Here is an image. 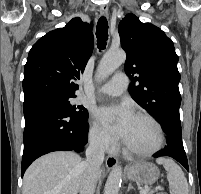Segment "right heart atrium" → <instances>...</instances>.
Here are the masks:
<instances>
[{"label": "right heart atrium", "mask_w": 201, "mask_h": 194, "mask_svg": "<svg viewBox=\"0 0 201 194\" xmlns=\"http://www.w3.org/2000/svg\"><path fill=\"white\" fill-rule=\"evenodd\" d=\"M88 135L91 145L99 151L112 150L116 145L115 139L96 122L91 123Z\"/></svg>", "instance_id": "obj_1"}]
</instances>
